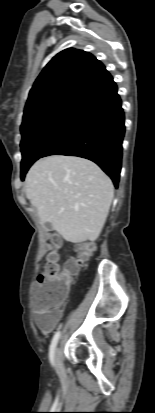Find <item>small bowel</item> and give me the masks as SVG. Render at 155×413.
Masks as SVG:
<instances>
[{
    "instance_id": "small-bowel-1",
    "label": "small bowel",
    "mask_w": 155,
    "mask_h": 413,
    "mask_svg": "<svg viewBox=\"0 0 155 413\" xmlns=\"http://www.w3.org/2000/svg\"><path fill=\"white\" fill-rule=\"evenodd\" d=\"M44 290V285L42 283H38L34 287L33 291V303L35 306V302L37 297L43 292ZM36 313V321L37 324L39 325L41 331L44 334L50 333L55 326L57 325L58 321L61 318V311L56 309L53 312H42L37 309H35Z\"/></svg>"
}]
</instances>
